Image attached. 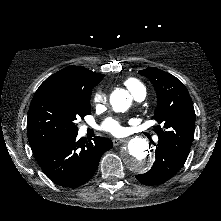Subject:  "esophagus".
<instances>
[{
  "mask_svg": "<svg viewBox=\"0 0 221 221\" xmlns=\"http://www.w3.org/2000/svg\"><path fill=\"white\" fill-rule=\"evenodd\" d=\"M126 142H127V139H114L113 140V145L118 146V145L124 144Z\"/></svg>",
  "mask_w": 221,
  "mask_h": 221,
  "instance_id": "obj_1",
  "label": "esophagus"
}]
</instances>
